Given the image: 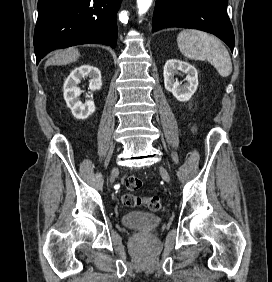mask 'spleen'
<instances>
[{
  "mask_svg": "<svg viewBox=\"0 0 272 282\" xmlns=\"http://www.w3.org/2000/svg\"><path fill=\"white\" fill-rule=\"evenodd\" d=\"M180 52L192 60H208L222 77L232 72V62L225 46L216 37L202 31L185 29L177 36Z\"/></svg>",
  "mask_w": 272,
  "mask_h": 282,
  "instance_id": "spleen-1",
  "label": "spleen"
}]
</instances>
